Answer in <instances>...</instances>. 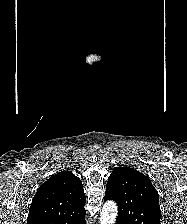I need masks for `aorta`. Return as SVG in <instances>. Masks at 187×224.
Here are the masks:
<instances>
[{
	"label": "aorta",
	"instance_id": "aorta-1",
	"mask_svg": "<svg viewBox=\"0 0 187 224\" xmlns=\"http://www.w3.org/2000/svg\"><path fill=\"white\" fill-rule=\"evenodd\" d=\"M117 212L114 201L105 202L100 213V224H115Z\"/></svg>",
	"mask_w": 187,
	"mask_h": 224
}]
</instances>
